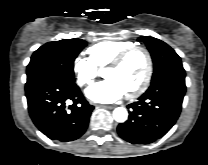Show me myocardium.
Instances as JSON below:
<instances>
[{
  "label": "myocardium",
  "mask_w": 208,
  "mask_h": 165,
  "mask_svg": "<svg viewBox=\"0 0 208 165\" xmlns=\"http://www.w3.org/2000/svg\"><path fill=\"white\" fill-rule=\"evenodd\" d=\"M137 51H140L145 55L146 62H147V68H146V72H145L142 82L136 88H134L133 90L126 93V96L128 98H134V97L141 95L143 92L146 91V89L148 88V86L151 82V78L153 75V58H152L150 51L144 46L134 45V46H131V47L121 51L118 55H116L107 64V68H117V67L121 66L123 64V62L131 54H133L134 52H137Z\"/></svg>",
  "instance_id": "myocardium-1"
}]
</instances>
